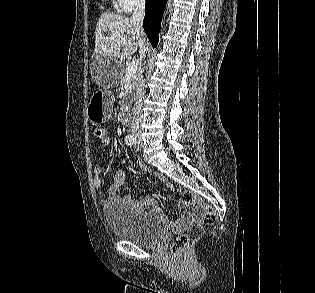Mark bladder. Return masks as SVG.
<instances>
[{"label":"bladder","instance_id":"bladder-1","mask_svg":"<svg viewBox=\"0 0 315 293\" xmlns=\"http://www.w3.org/2000/svg\"><path fill=\"white\" fill-rule=\"evenodd\" d=\"M104 217L112 233L119 239L141 247L156 244L163 230L150 215L124 202H116L104 210Z\"/></svg>","mask_w":315,"mask_h":293}]
</instances>
